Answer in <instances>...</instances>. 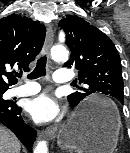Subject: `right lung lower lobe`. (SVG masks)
I'll return each mask as SVG.
<instances>
[{
  "label": "right lung lower lobe",
  "instance_id": "98d812e1",
  "mask_svg": "<svg viewBox=\"0 0 130 153\" xmlns=\"http://www.w3.org/2000/svg\"><path fill=\"white\" fill-rule=\"evenodd\" d=\"M21 108L10 100H0V123L9 128L32 151L36 139V131L27 125L20 116Z\"/></svg>",
  "mask_w": 130,
  "mask_h": 153
}]
</instances>
